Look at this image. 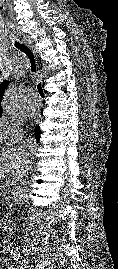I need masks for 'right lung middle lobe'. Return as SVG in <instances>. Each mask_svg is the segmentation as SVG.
<instances>
[{"instance_id":"obj_1","label":"right lung middle lobe","mask_w":118,"mask_h":269,"mask_svg":"<svg viewBox=\"0 0 118 269\" xmlns=\"http://www.w3.org/2000/svg\"><path fill=\"white\" fill-rule=\"evenodd\" d=\"M1 114H2V109L0 108V116H1Z\"/></svg>"}]
</instances>
